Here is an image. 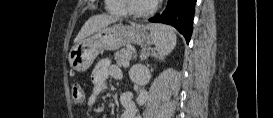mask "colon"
Listing matches in <instances>:
<instances>
[{
    "label": "colon",
    "instance_id": "1",
    "mask_svg": "<svg viewBox=\"0 0 273 118\" xmlns=\"http://www.w3.org/2000/svg\"><path fill=\"white\" fill-rule=\"evenodd\" d=\"M71 97H72V101L77 105H80L84 102L85 95H84V90L81 84L74 83L72 85Z\"/></svg>",
    "mask_w": 273,
    "mask_h": 118
}]
</instances>
